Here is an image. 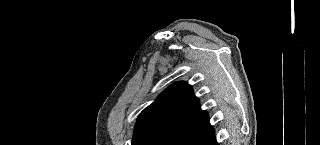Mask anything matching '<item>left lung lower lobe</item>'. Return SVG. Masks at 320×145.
<instances>
[{
    "mask_svg": "<svg viewBox=\"0 0 320 145\" xmlns=\"http://www.w3.org/2000/svg\"><path fill=\"white\" fill-rule=\"evenodd\" d=\"M179 145H218L209 121L186 135Z\"/></svg>",
    "mask_w": 320,
    "mask_h": 145,
    "instance_id": "0a47b994",
    "label": "left lung lower lobe"
}]
</instances>
